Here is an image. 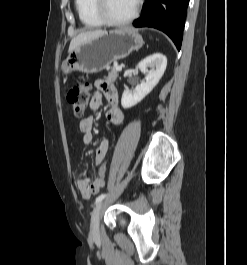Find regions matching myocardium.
Returning a JSON list of instances; mask_svg holds the SVG:
<instances>
[{
	"mask_svg": "<svg viewBox=\"0 0 247 265\" xmlns=\"http://www.w3.org/2000/svg\"><path fill=\"white\" fill-rule=\"evenodd\" d=\"M108 0H94V10L101 21L113 27H122L132 23L139 15L142 0H137L133 12L125 19H115L110 16L107 8Z\"/></svg>",
	"mask_w": 247,
	"mask_h": 265,
	"instance_id": "obj_1",
	"label": "myocardium"
}]
</instances>
